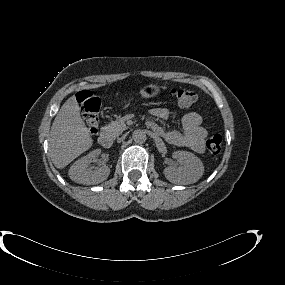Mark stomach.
Here are the masks:
<instances>
[{
	"mask_svg": "<svg viewBox=\"0 0 285 285\" xmlns=\"http://www.w3.org/2000/svg\"><path fill=\"white\" fill-rule=\"evenodd\" d=\"M161 92V87L157 84H146L140 88V96L145 99L154 98ZM131 100H124L122 104H126Z\"/></svg>",
	"mask_w": 285,
	"mask_h": 285,
	"instance_id": "1",
	"label": "stomach"
}]
</instances>
